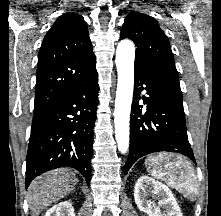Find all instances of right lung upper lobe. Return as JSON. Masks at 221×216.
Segmentation results:
<instances>
[{"label":"right lung upper lobe","instance_id":"obj_1","mask_svg":"<svg viewBox=\"0 0 221 216\" xmlns=\"http://www.w3.org/2000/svg\"><path fill=\"white\" fill-rule=\"evenodd\" d=\"M95 64L83 17L76 13L62 15L40 48L34 113L97 76Z\"/></svg>","mask_w":221,"mask_h":216}]
</instances>
